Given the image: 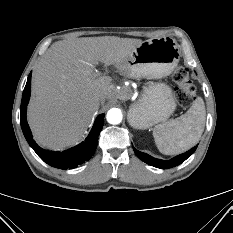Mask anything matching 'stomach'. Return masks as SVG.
<instances>
[{
	"label": "stomach",
	"instance_id": "1",
	"mask_svg": "<svg viewBox=\"0 0 233 233\" xmlns=\"http://www.w3.org/2000/svg\"><path fill=\"white\" fill-rule=\"evenodd\" d=\"M180 51L170 37L143 41L119 63L120 71L135 79H161L178 65ZM176 108L172 89L165 83H150L128 112V122L135 129H146L166 121Z\"/></svg>",
	"mask_w": 233,
	"mask_h": 233
}]
</instances>
